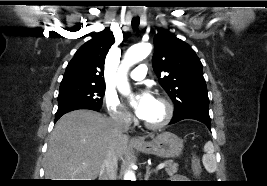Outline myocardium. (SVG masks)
<instances>
[{"instance_id": "obj_1", "label": "myocardium", "mask_w": 267, "mask_h": 186, "mask_svg": "<svg viewBox=\"0 0 267 186\" xmlns=\"http://www.w3.org/2000/svg\"><path fill=\"white\" fill-rule=\"evenodd\" d=\"M156 100L163 105L165 113H164L163 118L156 123H149L146 121L143 122L144 126L150 130H158V129L165 127L167 124L170 123V121L173 118V114H174V107L172 103L166 97L158 96Z\"/></svg>"}]
</instances>
